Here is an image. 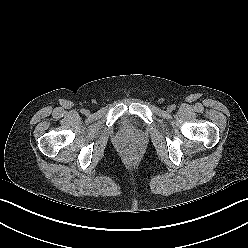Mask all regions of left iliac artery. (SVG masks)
<instances>
[{"label": "left iliac artery", "mask_w": 248, "mask_h": 248, "mask_svg": "<svg viewBox=\"0 0 248 248\" xmlns=\"http://www.w3.org/2000/svg\"><path fill=\"white\" fill-rule=\"evenodd\" d=\"M171 107H172V110H175L176 109V105H171Z\"/></svg>", "instance_id": "44dca946"}]
</instances>
